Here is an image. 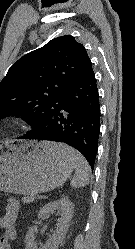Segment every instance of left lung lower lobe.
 Listing matches in <instances>:
<instances>
[{
  "mask_svg": "<svg viewBox=\"0 0 135 249\" xmlns=\"http://www.w3.org/2000/svg\"><path fill=\"white\" fill-rule=\"evenodd\" d=\"M100 103L93 69L65 89L44 113L42 122L21 139L69 144L94 168L100 134Z\"/></svg>",
  "mask_w": 135,
  "mask_h": 249,
  "instance_id": "1",
  "label": "left lung lower lobe"
}]
</instances>
